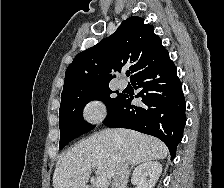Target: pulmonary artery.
Listing matches in <instances>:
<instances>
[{
	"label": "pulmonary artery",
	"instance_id": "pulmonary-artery-1",
	"mask_svg": "<svg viewBox=\"0 0 224 188\" xmlns=\"http://www.w3.org/2000/svg\"><path fill=\"white\" fill-rule=\"evenodd\" d=\"M118 87L120 89H125L127 87V80L124 78H120L118 81Z\"/></svg>",
	"mask_w": 224,
	"mask_h": 188
}]
</instances>
